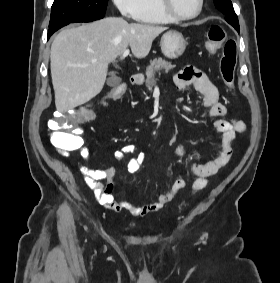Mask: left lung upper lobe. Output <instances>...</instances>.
<instances>
[{
  "mask_svg": "<svg viewBox=\"0 0 280 283\" xmlns=\"http://www.w3.org/2000/svg\"><path fill=\"white\" fill-rule=\"evenodd\" d=\"M214 4L218 8V10L226 15L225 20L230 25H232L234 28H239L237 15L234 11L231 0H214Z\"/></svg>",
  "mask_w": 280,
  "mask_h": 283,
  "instance_id": "1",
  "label": "left lung upper lobe"
}]
</instances>
